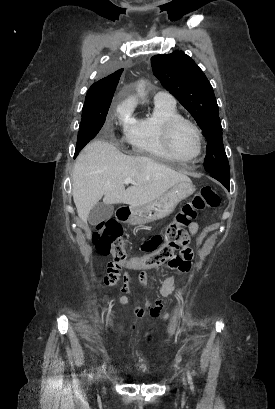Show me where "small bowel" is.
Masks as SVG:
<instances>
[{
    "label": "small bowel",
    "mask_w": 275,
    "mask_h": 409,
    "mask_svg": "<svg viewBox=\"0 0 275 409\" xmlns=\"http://www.w3.org/2000/svg\"><path fill=\"white\" fill-rule=\"evenodd\" d=\"M199 230V226L197 223H193L190 227H189V239H194L198 233ZM193 251L191 248L186 247L184 249H182V251L179 253V255L175 258V257H171L170 261L171 263L169 264V267L173 270H177L179 272H189L192 268V261H193ZM109 274L107 275V277H104L102 279V282L105 284L106 288H111L112 286H115L119 280H123L120 282V287L121 288H125L123 291V295L121 296V302L123 304H128L130 306H132L135 316L138 319H143L145 317H157L160 313H161V306L160 304V300L157 301V305H153L152 309L147 311L146 309H144L143 307H141L140 305H138L135 301V299L132 297L131 293L129 292V290L126 288L127 285L130 283V280H132L134 278V275L132 273H122V270L120 268H110L109 269ZM140 281L142 284H146L147 282V277L145 273H140ZM174 280L172 278H166L160 287V294L163 297H167L169 296L174 289ZM133 326L137 325L136 321L132 322ZM117 329L120 327L118 324L115 326ZM149 332L152 330L150 327L147 329ZM120 334V333H119ZM145 339L147 341H150L152 339V336L150 334H147L145 336Z\"/></svg>",
    "instance_id": "small-bowel-1"
}]
</instances>
